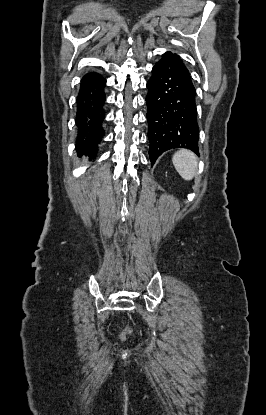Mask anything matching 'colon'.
<instances>
[{
    "label": "colon",
    "instance_id": "colon-1",
    "mask_svg": "<svg viewBox=\"0 0 266 415\" xmlns=\"http://www.w3.org/2000/svg\"><path fill=\"white\" fill-rule=\"evenodd\" d=\"M130 333H131V330H130V329L125 330V331L122 333V337H123V338H125V337H126V336H128Z\"/></svg>",
    "mask_w": 266,
    "mask_h": 415
}]
</instances>
